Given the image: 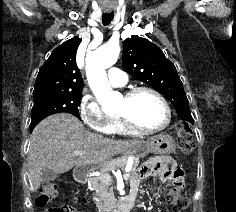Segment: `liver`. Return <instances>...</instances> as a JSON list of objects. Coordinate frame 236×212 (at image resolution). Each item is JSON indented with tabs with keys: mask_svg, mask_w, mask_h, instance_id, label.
<instances>
[{
	"mask_svg": "<svg viewBox=\"0 0 236 212\" xmlns=\"http://www.w3.org/2000/svg\"><path fill=\"white\" fill-rule=\"evenodd\" d=\"M140 140H113L91 133L73 115L59 113L41 121L33 130L28 154L29 181L36 191L41 184V172L48 168L65 173L74 166H102L118 154L127 153ZM74 151L82 153L75 156Z\"/></svg>",
	"mask_w": 236,
	"mask_h": 212,
	"instance_id": "liver-1",
	"label": "liver"
}]
</instances>
